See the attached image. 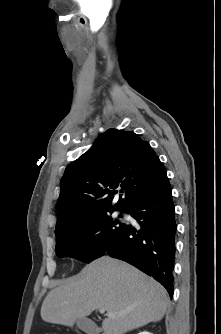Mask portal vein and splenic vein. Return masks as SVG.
Segmentation results:
<instances>
[{"mask_svg":"<svg viewBox=\"0 0 221 334\" xmlns=\"http://www.w3.org/2000/svg\"><path fill=\"white\" fill-rule=\"evenodd\" d=\"M99 312L103 314V313H105V309L101 308V309H99ZM107 315L108 316H114V314H109V313Z\"/></svg>","mask_w":221,"mask_h":334,"instance_id":"portal-vein-and-splenic-vein-1","label":"portal vein and splenic vein"}]
</instances>
